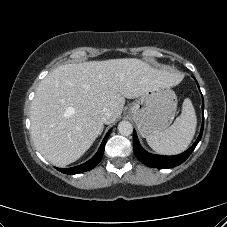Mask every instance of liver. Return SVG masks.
<instances>
[{"mask_svg": "<svg viewBox=\"0 0 227 227\" xmlns=\"http://www.w3.org/2000/svg\"><path fill=\"white\" fill-rule=\"evenodd\" d=\"M181 76L135 58L59 66L39 84L31 103V137L41 155L64 167L78 160L101 134L103 108L120 117L125 99L156 86L170 88Z\"/></svg>", "mask_w": 227, "mask_h": 227, "instance_id": "obj_1", "label": "liver"}]
</instances>
